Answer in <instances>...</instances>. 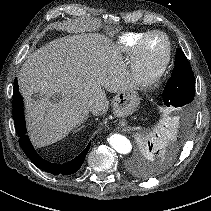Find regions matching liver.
Returning <instances> with one entry per match:
<instances>
[{
	"instance_id": "1",
	"label": "liver",
	"mask_w": 211,
	"mask_h": 211,
	"mask_svg": "<svg viewBox=\"0 0 211 211\" xmlns=\"http://www.w3.org/2000/svg\"><path fill=\"white\" fill-rule=\"evenodd\" d=\"M18 81L36 147L63 139L89 111L104 114L109 106L104 89L119 93L134 88L119 49L96 33L61 37L37 49L23 64ZM34 93H39L37 100Z\"/></svg>"
}]
</instances>
